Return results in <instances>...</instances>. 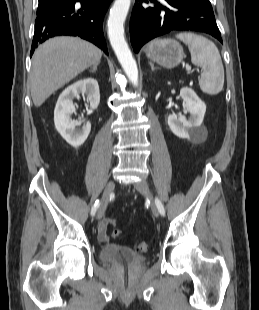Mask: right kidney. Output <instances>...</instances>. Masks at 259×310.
<instances>
[{
	"instance_id": "1",
	"label": "right kidney",
	"mask_w": 259,
	"mask_h": 310,
	"mask_svg": "<svg viewBox=\"0 0 259 310\" xmlns=\"http://www.w3.org/2000/svg\"><path fill=\"white\" fill-rule=\"evenodd\" d=\"M79 94L86 95L90 112L97 109L100 102L98 82L93 78L79 80L67 87L59 96L54 110V123L56 130L68 144L77 148L87 139L91 131V123L79 119L74 121L71 118L75 112L73 99Z\"/></svg>"
}]
</instances>
